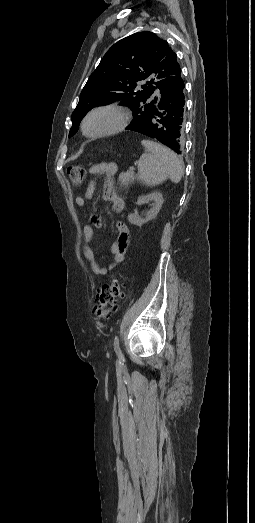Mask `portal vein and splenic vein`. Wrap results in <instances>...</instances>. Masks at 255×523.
<instances>
[{
    "mask_svg": "<svg viewBox=\"0 0 255 523\" xmlns=\"http://www.w3.org/2000/svg\"><path fill=\"white\" fill-rule=\"evenodd\" d=\"M135 172V168H128V173H133Z\"/></svg>",
    "mask_w": 255,
    "mask_h": 523,
    "instance_id": "18ae733b",
    "label": "portal vein and splenic vein"
}]
</instances>
